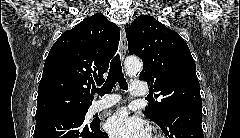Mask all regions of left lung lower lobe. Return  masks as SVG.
I'll list each match as a JSON object with an SVG mask.
<instances>
[{
    "mask_svg": "<svg viewBox=\"0 0 240 138\" xmlns=\"http://www.w3.org/2000/svg\"><path fill=\"white\" fill-rule=\"evenodd\" d=\"M202 105L187 104L173 109L157 125L169 138H203Z\"/></svg>",
    "mask_w": 240,
    "mask_h": 138,
    "instance_id": "0a47b994",
    "label": "left lung lower lobe"
}]
</instances>
